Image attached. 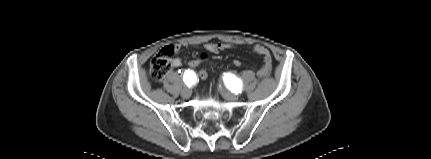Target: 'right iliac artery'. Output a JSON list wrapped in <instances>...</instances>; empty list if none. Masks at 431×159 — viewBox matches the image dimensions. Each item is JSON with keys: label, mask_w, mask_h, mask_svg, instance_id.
<instances>
[{"label": "right iliac artery", "mask_w": 431, "mask_h": 159, "mask_svg": "<svg viewBox=\"0 0 431 159\" xmlns=\"http://www.w3.org/2000/svg\"><path fill=\"white\" fill-rule=\"evenodd\" d=\"M196 79V75L191 70H186L183 75V80L187 86H191Z\"/></svg>", "instance_id": "1"}]
</instances>
